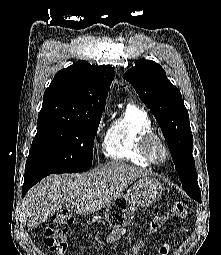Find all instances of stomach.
<instances>
[{"label": "stomach", "instance_id": "obj_1", "mask_svg": "<svg viewBox=\"0 0 221 255\" xmlns=\"http://www.w3.org/2000/svg\"><path fill=\"white\" fill-rule=\"evenodd\" d=\"M162 191L161 183L155 178H140L128 194L115 197L106 206V221L115 228L129 225L133 221L136 207L147 208L161 198Z\"/></svg>", "mask_w": 221, "mask_h": 255}]
</instances>
